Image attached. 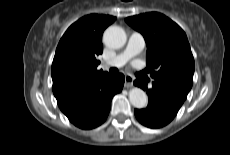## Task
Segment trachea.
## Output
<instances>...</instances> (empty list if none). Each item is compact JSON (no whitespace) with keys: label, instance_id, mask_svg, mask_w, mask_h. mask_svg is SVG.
<instances>
[{"label":"trachea","instance_id":"3493384b","mask_svg":"<svg viewBox=\"0 0 230 155\" xmlns=\"http://www.w3.org/2000/svg\"><path fill=\"white\" fill-rule=\"evenodd\" d=\"M109 72H110L111 74H117V73H118V70H117L116 68H111V69L109 70Z\"/></svg>","mask_w":230,"mask_h":155}]
</instances>
